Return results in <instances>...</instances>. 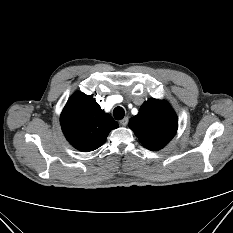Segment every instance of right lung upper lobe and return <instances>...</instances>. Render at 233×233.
<instances>
[{
  "label": "right lung upper lobe",
  "instance_id": "1",
  "mask_svg": "<svg viewBox=\"0 0 233 233\" xmlns=\"http://www.w3.org/2000/svg\"><path fill=\"white\" fill-rule=\"evenodd\" d=\"M60 121L67 140L82 152L99 148L109 132L118 127V123L101 109L92 95L81 92L68 100Z\"/></svg>",
  "mask_w": 233,
  "mask_h": 233
}]
</instances>
